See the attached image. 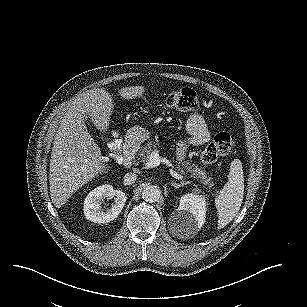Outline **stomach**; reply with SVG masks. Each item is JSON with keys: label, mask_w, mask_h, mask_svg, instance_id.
Masks as SVG:
<instances>
[{"label": "stomach", "mask_w": 307, "mask_h": 307, "mask_svg": "<svg viewBox=\"0 0 307 307\" xmlns=\"http://www.w3.org/2000/svg\"><path fill=\"white\" fill-rule=\"evenodd\" d=\"M149 136L150 134L147 130L139 126H135L127 131L125 141L131 144L132 146L139 145L142 142H144L147 138H149Z\"/></svg>", "instance_id": "1"}]
</instances>
